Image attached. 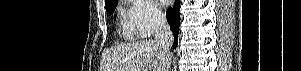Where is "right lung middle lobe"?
<instances>
[{
	"instance_id": "1",
	"label": "right lung middle lobe",
	"mask_w": 301,
	"mask_h": 71,
	"mask_svg": "<svg viewBox=\"0 0 301 71\" xmlns=\"http://www.w3.org/2000/svg\"><path fill=\"white\" fill-rule=\"evenodd\" d=\"M117 2H118V0H114V1H111V2L106 4V11H107L108 14L113 13V11L116 8Z\"/></svg>"
}]
</instances>
